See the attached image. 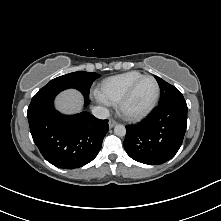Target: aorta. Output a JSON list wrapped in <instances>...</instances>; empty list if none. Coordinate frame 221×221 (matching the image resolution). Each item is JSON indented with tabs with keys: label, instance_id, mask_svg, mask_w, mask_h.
Wrapping results in <instances>:
<instances>
[{
	"label": "aorta",
	"instance_id": "762f6f07",
	"mask_svg": "<svg viewBox=\"0 0 221 221\" xmlns=\"http://www.w3.org/2000/svg\"><path fill=\"white\" fill-rule=\"evenodd\" d=\"M114 133L117 135V136H125L126 135V128L124 125H121V124H117L115 127H114Z\"/></svg>",
	"mask_w": 221,
	"mask_h": 221
}]
</instances>
